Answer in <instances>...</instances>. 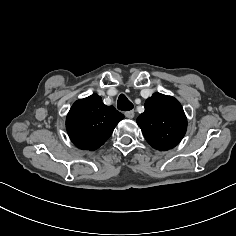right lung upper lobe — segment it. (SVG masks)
<instances>
[{"instance_id": "1", "label": "right lung upper lobe", "mask_w": 236, "mask_h": 236, "mask_svg": "<svg viewBox=\"0 0 236 236\" xmlns=\"http://www.w3.org/2000/svg\"><path fill=\"white\" fill-rule=\"evenodd\" d=\"M124 115L113 106H106L97 94L76 101L66 118L71 141L82 150L94 151L111 136Z\"/></svg>"}]
</instances>
